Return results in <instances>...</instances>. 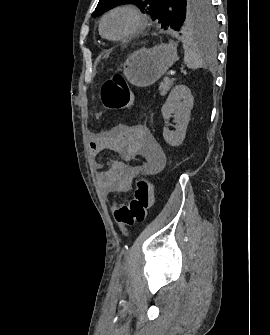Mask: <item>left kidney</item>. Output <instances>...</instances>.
I'll return each mask as SVG.
<instances>
[{"label": "left kidney", "instance_id": "1", "mask_svg": "<svg viewBox=\"0 0 270 335\" xmlns=\"http://www.w3.org/2000/svg\"><path fill=\"white\" fill-rule=\"evenodd\" d=\"M193 100L191 90L187 86H181L180 84V86H175L171 90L164 106H162L161 112L166 124H168L169 118H174L176 124V132H170L169 128H163L164 140L170 146H180L182 144L190 122ZM171 114H174V116H171Z\"/></svg>", "mask_w": 270, "mask_h": 335}]
</instances>
